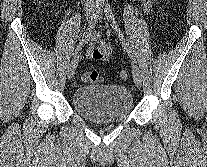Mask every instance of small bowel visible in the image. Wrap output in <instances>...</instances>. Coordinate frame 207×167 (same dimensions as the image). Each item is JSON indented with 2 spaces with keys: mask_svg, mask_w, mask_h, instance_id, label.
Segmentation results:
<instances>
[{
  "mask_svg": "<svg viewBox=\"0 0 207 167\" xmlns=\"http://www.w3.org/2000/svg\"><path fill=\"white\" fill-rule=\"evenodd\" d=\"M157 0H143L145 12H149ZM86 57L95 61H107L112 54V46L101 38L98 32H92L88 39Z\"/></svg>",
  "mask_w": 207,
  "mask_h": 167,
  "instance_id": "small-bowel-1",
  "label": "small bowel"
}]
</instances>
